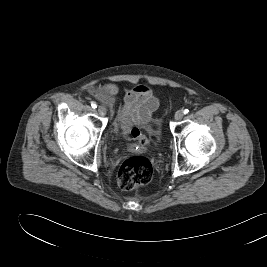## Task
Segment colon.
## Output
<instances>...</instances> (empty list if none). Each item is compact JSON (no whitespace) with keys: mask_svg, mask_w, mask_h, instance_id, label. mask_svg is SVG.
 I'll return each mask as SVG.
<instances>
[{"mask_svg":"<svg viewBox=\"0 0 267 267\" xmlns=\"http://www.w3.org/2000/svg\"><path fill=\"white\" fill-rule=\"evenodd\" d=\"M124 138L138 141L141 145H148L147 137L138 128H128L124 131ZM154 175L152 163L143 156H134L125 160L118 171L117 183L120 189L131 191L139 186L151 182Z\"/></svg>","mask_w":267,"mask_h":267,"instance_id":"obj_1","label":"colon"}]
</instances>
